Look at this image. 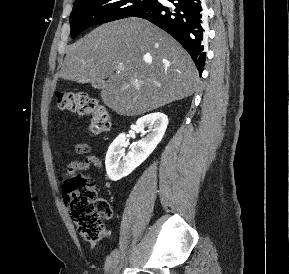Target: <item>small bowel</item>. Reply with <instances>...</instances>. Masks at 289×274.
I'll return each instance as SVG.
<instances>
[{
	"instance_id": "small-bowel-1",
	"label": "small bowel",
	"mask_w": 289,
	"mask_h": 274,
	"mask_svg": "<svg viewBox=\"0 0 289 274\" xmlns=\"http://www.w3.org/2000/svg\"><path fill=\"white\" fill-rule=\"evenodd\" d=\"M73 151L78 155H86L82 160H73L71 161L65 170V172L60 177L61 182L68 177L75 175L77 172L86 171L91 166H94L97 169L102 168V162L99 157L90 154L92 147L87 143H78L74 145Z\"/></svg>"
}]
</instances>
